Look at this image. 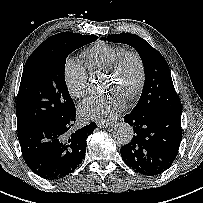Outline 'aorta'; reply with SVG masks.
Returning a JSON list of instances; mask_svg holds the SVG:
<instances>
[{
  "mask_svg": "<svg viewBox=\"0 0 203 203\" xmlns=\"http://www.w3.org/2000/svg\"><path fill=\"white\" fill-rule=\"evenodd\" d=\"M113 135L119 144L125 145L131 142L134 130L128 123L121 122L115 126Z\"/></svg>",
  "mask_w": 203,
  "mask_h": 203,
  "instance_id": "obj_1",
  "label": "aorta"
}]
</instances>
